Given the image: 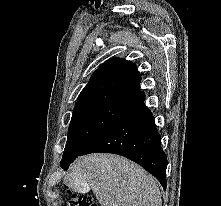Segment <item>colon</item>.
Listing matches in <instances>:
<instances>
[{
	"label": "colon",
	"instance_id": "obj_1",
	"mask_svg": "<svg viewBox=\"0 0 221 206\" xmlns=\"http://www.w3.org/2000/svg\"><path fill=\"white\" fill-rule=\"evenodd\" d=\"M68 206H98L89 196H73Z\"/></svg>",
	"mask_w": 221,
	"mask_h": 206
}]
</instances>
